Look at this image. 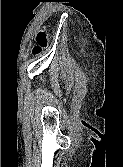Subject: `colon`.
I'll return each mask as SVG.
<instances>
[{"mask_svg": "<svg viewBox=\"0 0 123 167\" xmlns=\"http://www.w3.org/2000/svg\"><path fill=\"white\" fill-rule=\"evenodd\" d=\"M48 34L45 30H41L36 35L35 44L32 48V53L34 56H39L43 49L47 46Z\"/></svg>", "mask_w": 123, "mask_h": 167, "instance_id": "colon-1", "label": "colon"}]
</instances>
